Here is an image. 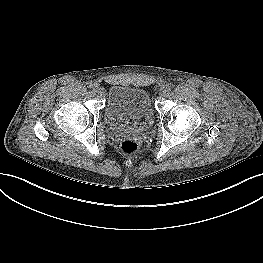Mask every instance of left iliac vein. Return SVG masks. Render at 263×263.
I'll list each match as a JSON object with an SVG mask.
<instances>
[{
    "instance_id": "4c4485c4",
    "label": "left iliac vein",
    "mask_w": 263,
    "mask_h": 263,
    "mask_svg": "<svg viewBox=\"0 0 263 263\" xmlns=\"http://www.w3.org/2000/svg\"><path fill=\"white\" fill-rule=\"evenodd\" d=\"M166 95V90H162L161 92H160V96L161 97H164Z\"/></svg>"
}]
</instances>
